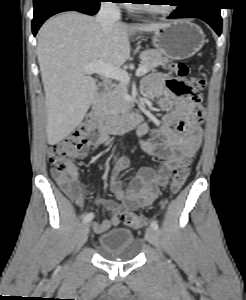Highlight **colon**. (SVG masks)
<instances>
[{"label": "colon", "mask_w": 246, "mask_h": 300, "mask_svg": "<svg viewBox=\"0 0 246 300\" xmlns=\"http://www.w3.org/2000/svg\"><path fill=\"white\" fill-rule=\"evenodd\" d=\"M171 70L181 79L187 78L189 68L185 63L174 62L170 64ZM204 86L202 78H194L188 82L187 91L192 99V114L195 117L202 115L200 89ZM95 125L91 117L83 121L74 132L67 138L52 143L48 147V161L53 173L71 176L75 173V168L72 164L73 160L78 157L83 151L88 142L89 137L94 133ZM191 167L189 163L179 165L173 175L170 183V193L176 195L184 186L190 175ZM122 221L125 225L131 228H142L147 224L144 216L135 213H124Z\"/></svg>", "instance_id": "obj_1"}]
</instances>
